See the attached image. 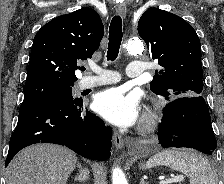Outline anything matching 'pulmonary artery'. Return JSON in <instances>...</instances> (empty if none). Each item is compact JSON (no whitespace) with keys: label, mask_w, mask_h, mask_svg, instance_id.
Returning a JSON list of instances; mask_svg holds the SVG:
<instances>
[{"label":"pulmonary artery","mask_w":224,"mask_h":184,"mask_svg":"<svg viewBox=\"0 0 224 184\" xmlns=\"http://www.w3.org/2000/svg\"><path fill=\"white\" fill-rule=\"evenodd\" d=\"M91 69L97 73V76L83 77L78 82V89L84 90L100 85L115 83L121 80L120 75L116 72L105 70L99 66H92ZM143 70L144 68L141 62L131 61L128 64L126 75L128 77H140Z\"/></svg>","instance_id":"e3ab8cb5"}]
</instances>
